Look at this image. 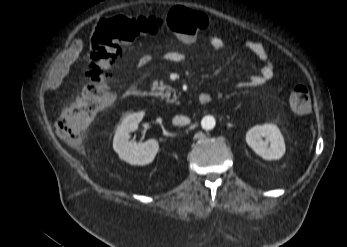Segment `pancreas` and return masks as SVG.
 Returning <instances> with one entry per match:
<instances>
[{"mask_svg": "<svg viewBox=\"0 0 347 247\" xmlns=\"http://www.w3.org/2000/svg\"><path fill=\"white\" fill-rule=\"evenodd\" d=\"M153 88L158 90V92L156 93L158 96H160L161 98H166L167 102H170L172 89L168 85L164 84L162 81H160V83L154 82ZM175 101H176V96H173V99L171 100V102H175Z\"/></svg>", "mask_w": 347, "mask_h": 247, "instance_id": "1", "label": "pancreas"}]
</instances>
